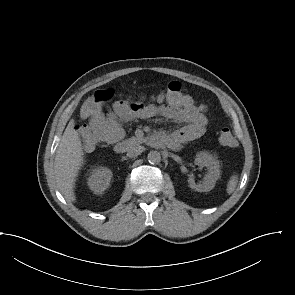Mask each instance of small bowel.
<instances>
[{
	"mask_svg": "<svg viewBox=\"0 0 295 295\" xmlns=\"http://www.w3.org/2000/svg\"><path fill=\"white\" fill-rule=\"evenodd\" d=\"M166 100L167 104L144 105L141 102L126 100L116 101L112 111L104 114L101 111L93 114L89 119V127L100 128L104 132L103 140L109 143L119 141L123 136L122 124L132 119L149 118L153 115H162L184 127L170 134L159 133L162 142L172 149L179 148L182 144L197 139L206 130L208 119L201 108L194 105L193 101L180 102L168 95H160L158 101Z\"/></svg>",
	"mask_w": 295,
	"mask_h": 295,
	"instance_id": "c3829d8e",
	"label": "small bowel"
}]
</instances>
